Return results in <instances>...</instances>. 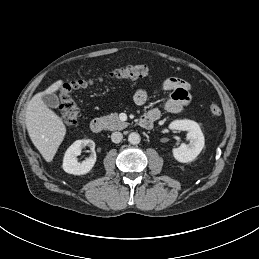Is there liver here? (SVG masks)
Returning <instances> with one entry per match:
<instances>
[{
  "label": "liver",
  "instance_id": "obj_1",
  "mask_svg": "<svg viewBox=\"0 0 259 259\" xmlns=\"http://www.w3.org/2000/svg\"><path fill=\"white\" fill-rule=\"evenodd\" d=\"M62 80L54 82L44 92L35 94L26 109V127L34 146L47 162H51L62 143L66 127L63 120L42 101L45 93L57 91Z\"/></svg>",
  "mask_w": 259,
  "mask_h": 259
}]
</instances>
